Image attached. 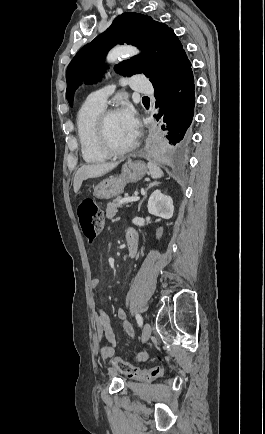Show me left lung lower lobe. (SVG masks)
Instances as JSON below:
<instances>
[{"label":"left lung lower lobe","instance_id":"left-lung-lower-lobe-1","mask_svg":"<svg viewBox=\"0 0 265 434\" xmlns=\"http://www.w3.org/2000/svg\"><path fill=\"white\" fill-rule=\"evenodd\" d=\"M156 104L161 107L162 129L167 131L165 138L154 141L153 147L163 154H181L191 144L193 131L195 85L191 62L182 55L164 82L155 87Z\"/></svg>","mask_w":265,"mask_h":434}]
</instances>
